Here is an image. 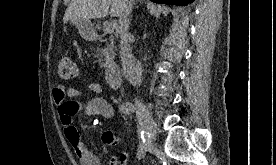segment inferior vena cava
Here are the masks:
<instances>
[{
	"label": "inferior vena cava",
	"instance_id": "602c4592",
	"mask_svg": "<svg viewBox=\"0 0 276 165\" xmlns=\"http://www.w3.org/2000/svg\"><path fill=\"white\" fill-rule=\"evenodd\" d=\"M133 0H124L119 16L118 33L120 35L121 60L133 86H140L142 81V68L130 54L128 29Z\"/></svg>",
	"mask_w": 276,
	"mask_h": 165
}]
</instances>
